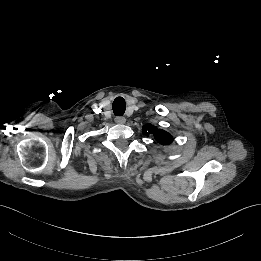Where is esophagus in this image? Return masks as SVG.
<instances>
[{
    "label": "esophagus",
    "instance_id": "34e87169",
    "mask_svg": "<svg viewBox=\"0 0 261 261\" xmlns=\"http://www.w3.org/2000/svg\"><path fill=\"white\" fill-rule=\"evenodd\" d=\"M114 120L117 124H124L126 122L125 117H116Z\"/></svg>",
    "mask_w": 261,
    "mask_h": 261
}]
</instances>
